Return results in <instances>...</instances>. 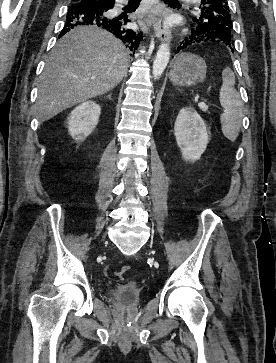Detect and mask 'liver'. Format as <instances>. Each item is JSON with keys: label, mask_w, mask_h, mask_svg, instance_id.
Segmentation results:
<instances>
[{"label": "liver", "mask_w": 276, "mask_h": 363, "mask_svg": "<svg viewBox=\"0 0 276 363\" xmlns=\"http://www.w3.org/2000/svg\"><path fill=\"white\" fill-rule=\"evenodd\" d=\"M123 43L96 26L76 27L52 49L40 76L37 111L41 122L115 88L127 74Z\"/></svg>", "instance_id": "6515ba94"}]
</instances>
